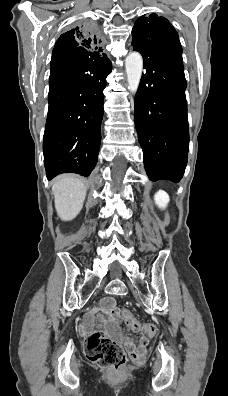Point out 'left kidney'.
<instances>
[{"label": "left kidney", "mask_w": 228, "mask_h": 396, "mask_svg": "<svg viewBox=\"0 0 228 396\" xmlns=\"http://www.w3.org/2000/svg\"><path fill=\"white\" fill-rule=\"evenodd\" d=\"M156 204L160 208H165L169 202V196L166 192L160 190L154 196Z\"/></svg>", "instance_id": "obj_1"}]
</instances>
